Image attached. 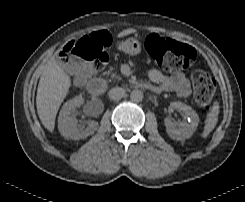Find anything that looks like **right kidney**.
<instances>
[{
  "instance_id": "ca27d5eb",
  "label": "right kidney",
  "mask_w": 245,
  "mask_h": 202,
  "mask_svg": "<svg viewBox=\"0 0 245 202\" xmlns=\"http://www.w3.org/2000/svg\"><path fill=\"white\" fill-rule=\"evenodd\" d=\"M84 102L82 96L68 100L62 107L58 117V129L62 136L67 139L79 140L92 135L98 127L96 122H90L86 127L84 123L78 124L76 120V108Z\"/></svg>"
}]
</instances>
